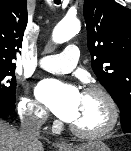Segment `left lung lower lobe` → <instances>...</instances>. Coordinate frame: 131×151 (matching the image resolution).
Instances as JSON below:
<instances>
[{
	"mask_svg": "<svg viewBox=\"0 0 131 151\" xmlns=\"http://www.w3.org/2000/svg\"><path fill=\"white\" fill-rule=\"evenodd\" d=\"M124 133H131V131H126V132H124Z\"/></svg>",
	"mask_w": 131,
	"mask_h": 151,
	"instance_id": "1",
	"label": "left lung lower lobe"
}]
</instances>
